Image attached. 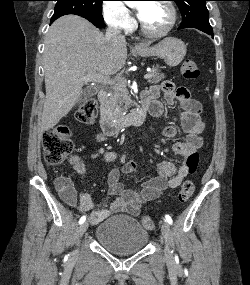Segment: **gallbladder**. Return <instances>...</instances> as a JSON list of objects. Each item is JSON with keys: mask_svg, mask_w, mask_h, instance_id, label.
I'll use <instances>...</instances> for the list:
<instances>
[{"mask_svg": "<svg viewBox=\"0 0 250 285\" xmlns=\"http://www.w3.org/2000/svg\"><path fill=\"white\" fill-rule=\"evenodd\" d=\"M95 94V90L93 88H85L78 100L79 103H82L86 101L89 97L93 96Z\"/></svg>", "mask_w": 250, "mask_h": 285, "instance_id": "1", "label": "gallbladder"}]
</instances>
